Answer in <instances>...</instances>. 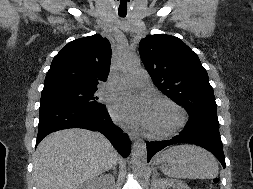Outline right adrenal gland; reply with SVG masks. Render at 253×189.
<instances>
[{"label": "right adrenal gland", "mask_w": 253, "mask_h": 189, "mask_svg": "<svg viewBox=\"0 0 253 189\" xmlns=\"http://www.w3.org/2000/svg\"><path fill=\"white\" fill-rule=\"evenodd\" d=\"M109 170H113V174L116 175V166L112 167L111 169ZM109 170H107V172H109Z\"/></svg>", "instance_id": "obj_1"}]
</instances>
